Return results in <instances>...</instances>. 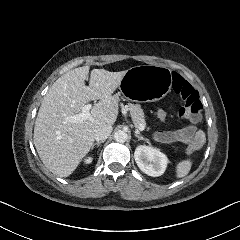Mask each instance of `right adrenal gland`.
Instances as JSON below:
<instances>
[{
    "label": "right adrenal gland",
    "mask_w": 240,
    "mask_h": 240,
    "mask_svg": "<svg viewBox=\"0 0 240 240\" xmlns=\"http://www.w3.org/2000/svg\"><path fill=\"white\" fill-rule=\"evenodd\" d=\"M105 141H99V142H96V143H93L92 146H91V149H93L95 146L99 147L101 143H104Z\"/></svg>",
    "instance_id": "1"
}]
</instances>
